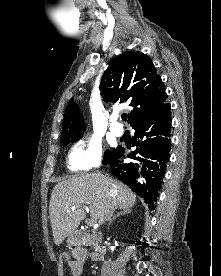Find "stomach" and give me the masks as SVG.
Returning <instances> with one entry per match:
<instances>
[{"mask_svg":"<svg viewBox=\"0 0 221 276\" xmlns=\"http://www.w3.org/2000/svg\"><path fill=\"white\" fill-rule=\"evenodd\" d=\"M67 243L71 246L78 245L79 237L77 236V234H75V233L71 234L67 239Z\"/></svg>","mask_w":221,"mask_h":276,"instance_id":"1","label":"stomach"}]
</instances>
